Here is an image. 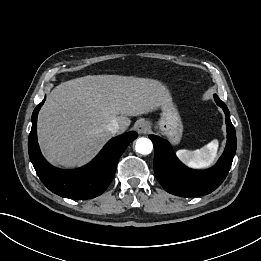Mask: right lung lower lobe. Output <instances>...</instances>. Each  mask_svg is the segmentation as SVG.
Here are the masks:
<instances>
[{
  "instance_id": "98d812e1",
  "label": "right lung lower lobe",
  "mask_w": 261,
  "mask_h": 261,
  "mask_svg": "<svg viewBox=\"0 0 261 261\" xmlns=\"http://www.w3.org/2000/svg\"><path fill=\"white\" fill-rule=\"evenodd\" d=\"M44 101L33 111L28 139L29 157L40 180L50 191L64 198L85 200L101 195L114 177L120 156L129 143L137 138V133L132 131L111 139L96 158L84 167L57 169L43 158L37 142V116Z\"/></svg>"
}]
</instances>
